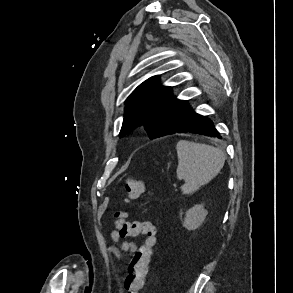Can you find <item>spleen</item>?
<instances>
[{
  "mask_svg": "<svg viewBox=\"0 0 293 293\" xmlns=\"http://www.w3.org/2000/svg\"><path fill=\"white\" fill-rule=\"evenodd\" d=\"M177 178L184 180L183 194L189 195L215 178L225 163L224 152L211 145L181 140L176 146Z\"/></svg>",
  "mask_w": 293,
  "mask_h": 293,
  "instance_id": "3e777b00",
  "label": "spleen"
}]
</instances>
